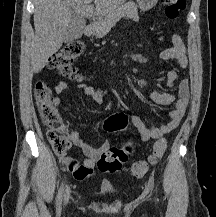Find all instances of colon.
Returning <instances> with one entry per match:
<instances>
[{
  "mask_svg": "<svg viewBox=\"0 0 216 217\" xmlns=\"http://www.w3.org/2000/svg\"><path fill=\"white\" fill-rule=\"evenodd\" d=\"M161 3L165 6V14L169 19H177L185 8V0H161ZM81 53V43H68L52 56L49 67L60 76L80 79L81 74L73 65ZM34 97L38 105L40 118L48 128L47 137L54 153L65 159L66 166L70 172L79 176L81 170L78 168L77 162L67 157L71 143L66 134L63 120L54 106V97L51 89L45 82L38 81L34 87ZM128 124V116L123 112H118L110 115L104 121V128L108 132H114L126 128ZM166 148V139L158 138L153 144L151 154L147 160L131 164L128 168L129 174L135 177L144 176L151 167L161 160ZM127 160L128 151L126 149L111 146L102 153L97 162V167L101 172L114 173L122 169Z\"/></svg>",
  "mask_w": 216,
  "mask_h": 217,
  "instance_id": "1",
  "label": "colon"
}]
</instances>
